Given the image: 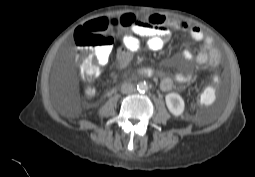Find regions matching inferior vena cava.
<instances>
[{
  "label": "inferior vena cava",
  "instance_id": "1",
  "mask_svg": "<svg viewBox=\"0 0 255 177\" xmlns=\"http://www.w3.org/2000/svg\"><path fill=\"white\" fill-rule=\"evenodd\" d=\"M135 91V87L131 83H123L121 86V92L123 94H129Z\"/></svg>",
  "mask_w": 255,
  "mask_h": 177
}]
</instances>
